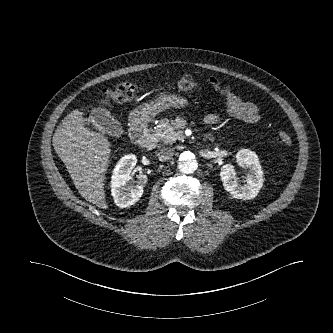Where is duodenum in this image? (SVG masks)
<instances>
[{
  "label": "duodenum",
  "instance_id": "1",
  "mask_svg": "<svg viewBox=\"0 0 333 333\" xmlns=\"http://www.w3.org/2000/svg\"><path fill=\"white\" fill-rule=\"evenodd\" d=\"M130 136L132 141L142 149L152 150L156 145L154 136L148 130L145 114L138 115L132 120Z\"/></svg>",
  "mask_w": 333,
  "mask_h": 333
}]
</instances>
